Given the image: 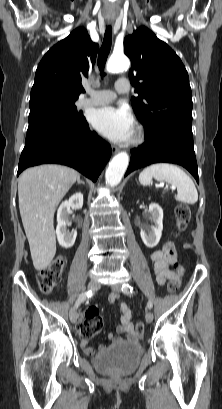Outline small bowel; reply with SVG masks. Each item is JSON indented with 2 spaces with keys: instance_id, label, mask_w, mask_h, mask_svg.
I'll return each mask as SVG.
<instances>
[{
  "instance_id": "c3829d8e",
  "label": "small bowel",
  "mask_w": 222,
  "mask_h": 409,
  "mask_svg": "<svg viewBox=\"0 0 222 409\" xmlns=\"http://www.w3.org/2000/svg\"><path fill=\"white\" fill-rule=\"evenodd\" d=\"M184 247L187 248L188 245L185 244ZM150 259L153 262L154 274L159 285L163 286L169 281L177 280L178 282H180V277H178L177 273L173 272L169 268L171 264L175 270L181 269L183 267V262L181 260H177L176 247L171 241H166L160 249L153 251L150 255ZM118 299L119 295L115 293H111L108 296V301L111 304H115ZM119 309L120 324L116 328V334L109 333L108 339L114 344L136 342L137 337L135 335L134 324L132 322L131 308L125 302H120ZM81 345L87 355L95 354V350L88 345L87 339H82ZM107 348L108 346L103 344L100 345L99 350L103 352Z\"/></svg>"
}]
</instances>
